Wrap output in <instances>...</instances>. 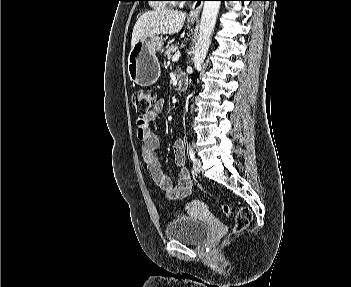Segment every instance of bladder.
Masks as SVG:
<instances>
[{"label":"bladder","mask_w":351,"mask_h":287,"mask_svg":"<svg viewBox=\"0 0 351 287\" xmlns=\"http://www.w3.org/2000/svg\"><path fill=\"white\" fill-rule=\"evenodd\" d=\"M165 234L170 240L197 245L209 235V225L200 218L178 216L167 224Z\"/></svg>","instance_id":"bladder-1"}]
</instances>
